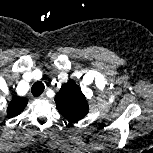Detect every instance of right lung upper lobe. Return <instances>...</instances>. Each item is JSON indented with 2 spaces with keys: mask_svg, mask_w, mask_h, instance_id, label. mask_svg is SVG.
I'll return each mask as SVG.
<instances>
[{
  "mask_svg": "<svg viewBox=\"0 0 153 153\" xmlns=\"http://www.w3.org/2000/svg\"><path fill=\"white\" fill-rule=\"evenodd\" d=\"M27 103H28V100L25 97H15L9 103L7 115L9 117H14L19 115L24 110Z\"/></svg>",
  "mask_w": 153,
  "mask_h": 153,
  "instance_id": "obj_1",
  "label": "right lung upper lobe"
}]
</instances>
